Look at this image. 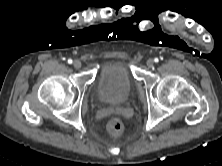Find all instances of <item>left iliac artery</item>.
<instances>
[{
	"label": "left iliac artery",
	"instance_id": "left-iliac-artery-1",
	"mask_svg": "<svg viewBox=\"0 0 222 166\" xmlns=\"http://www.w3.org/2000/svg\"><path fill=\"white\" fill-rule=\"evenodd\" d=\"M155 62H158L159 60H158V58H155V60H154Z\"/></svg>",
	"mask_w": 222,
	"mask_h": 166
}]
</instances>
